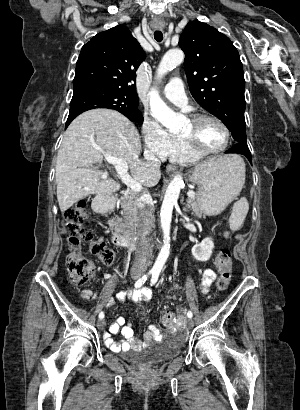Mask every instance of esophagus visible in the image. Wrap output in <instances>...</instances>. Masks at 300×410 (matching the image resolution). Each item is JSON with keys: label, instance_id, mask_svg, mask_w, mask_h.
Listing matches in <instances>:
<instances>
[{"label": "esophagus", "instance_id": "1", "mask_svg": "<svg viewBox=\"0 0 300 410\" xmlns=\"http://www.w3.org/2000/svg\"><path fill=\"white\" fill-rule=\"evenodd\" d=\"M158 28H161L160 26ZM167 172H175L176 171V166L175 165H167L166 167Z\"/></svg>", "mask_w": 300, "mask_h": 410}]
</instances>
